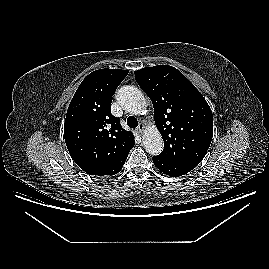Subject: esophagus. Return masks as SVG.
Here are the masks:
<instances>
[{"mask_svg": "<svg viewBox=\"0 0 269 269\" xmlns=\"http://www.w3.org/2000/svg\"><path fill=\"white\" fill-rule=\"evenodd\" d=\"M144 129H145V125H144L143 123H140V124L138 125V127H137V131H138L139 133H142V132L144 131Z\"/></svg>", "mask_w": 269, "mask_h": 269, "instance_id": "obj_1", "label": "esophagus"}]
</instances>
